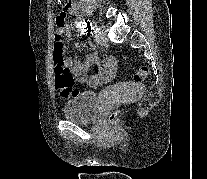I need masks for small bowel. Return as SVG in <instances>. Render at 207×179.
Here are the masks:
<instances>
[{"label": "small bowel", "instance_id": "1", "mask_svg": "<svg viewBox=\"0 0 207 179\" xmlns=\"http://www.w3.org/2000/svg\"><path fill=\"white\" fill-rule=\"evenodd\" d=\"M81 1L82 0H68L67 4L56 17V34L70 37L71 27L67 24V18L68 16L78 13ZM77 25L80 26V23ZM87 47L93 50V52L84 59H80L76 55H68L66 57V62L80 85L85 88L94 89L110 82L114 78L116 63L111 55H99L94 44L89 43ZM91 66L94 67V72L88 75L87 71Z\"/></svg>", "mask_w": 207, "mask_h": 179}]
</instances>
